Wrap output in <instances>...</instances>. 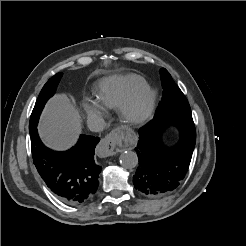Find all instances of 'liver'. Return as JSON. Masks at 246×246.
Masks as SVG:
<instances>
[{
    "label": "liver",
    "mask_w": 246,
    "mask_h": 246,
    "mask_svg": "<svg viewBox=\"0 0 246 246\" xmlns=\"http://www.w3.org/2000/svg\"><path fill=\"white\" fill-rule=\"evenodd\" d=\"M38 130L48 147L66 150L74 145L81 131L80 113L65 94H57L47 103Z\"/></svg>",
    "instance_id": "6515ba94"
}]
</instances>
